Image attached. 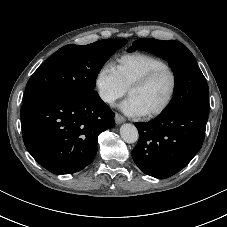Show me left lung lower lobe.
<instances>
[{"label":"left lung lower lobe","mask_w":227,"mask_h":227,"mask_svg":"<svg viewBox=\"0 0 227 227\" xmlns=\"http://www.w3.org/2000/svg\"><path fill=\"white\" fill-rule=\"evenodd\" d=\"M208 114L180 110L160 114L146 123H135L139 140L132 151L136 165L145 174L168 178L183 169L201 149Z\"/></svg>","instance_id":"left-lung-lower-lobe-1"}]
</instances>
